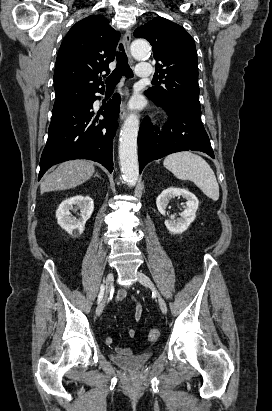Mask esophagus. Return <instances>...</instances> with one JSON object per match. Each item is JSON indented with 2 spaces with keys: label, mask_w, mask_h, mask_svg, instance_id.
Listing matches in <instances>:
<instances>
[{
  "label": "esophagus",
  "mask_w": 272,
  "mask_h": 411,
  "mask_svg": "<svg viewBox=\"0 0 272 411\" xmlns=\"http://www.w3.org/2000/svg\"><path fill=\"white\" fill-rule=\"evenodd\" d=\"M124 45H125V50L128 54L129 62L133 64V59L129 54V46L131 42V31L129 29L126 30L124 37H123ZM128 109L126 108L125 104H123L120 108V119L123 120L128 116Z\"/></svg>",
  "instance_id": "obj_1"
}]
</instances>
